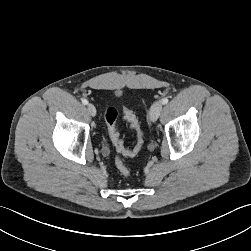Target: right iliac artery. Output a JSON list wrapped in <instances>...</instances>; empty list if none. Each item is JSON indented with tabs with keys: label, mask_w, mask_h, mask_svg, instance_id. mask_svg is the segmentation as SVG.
Returning a JSON list of instances; mask_svg holds the SVG:
<instances>
[{
	"label": "right iliac artery",
	"mask_w": 251,
	"mask_h": 251,
	"mask_svg": "<svg viewBox=\"0 0 251 251\" xmlns=\"http://www.w3.org/2000/svg\"><path fill=\"white\" fill-rule=\"evenodd\" d=\"M82 103H83L84 105H87V104H88V101H87L86 99H83V100H82Z\"/></svg>",
	"instance_id": "82829eb1"
}]
</instances>
